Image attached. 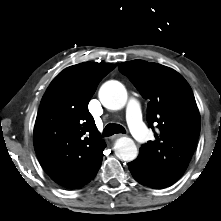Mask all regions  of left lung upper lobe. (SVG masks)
Segmentation results:
<instances>
[{"mask_svg":"<svg viewBox=\"0 0 221 221\" xmlns=\"http://www.w3.org/2000/svg\"><path fill=\"white\" fill-rule=\"evenodd\" d=\"M119 70L149 100L147 121L159 129L154 141L142 145L138 160L155 188L168 187L185 172L200 133L191 87L178 72L157 63L133 60Z\"/></svg>","mask_w":221,"mask_h":221,"instance_id":"left-lung-upper-lobe-1","label":"left lung upper lobe"}]
</instances>
